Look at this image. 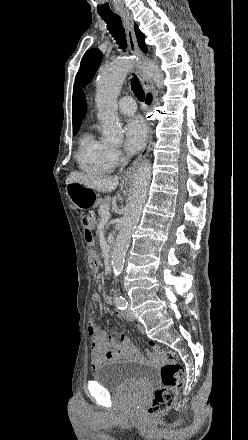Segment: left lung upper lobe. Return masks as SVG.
<instances>
[{"label":"left lung upper lobe","instance_id":"left-lung-upper-lobe-1","mask_svg":"<svg viewBox=\"0 0 248 440\" xmlns=\"http://www.w3.org/2000/svg\"><path fill=\"white\" fill-rule=\"evenodd\" d=\"M101 59L102 53L100 50L96 48L88 50L81 60L76 80H80L83 85L88 84L99 67Z\"/></svg>","mask_w":248,"mask_h":440}]
</instances>
